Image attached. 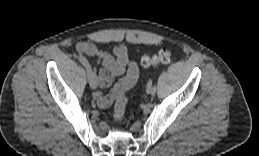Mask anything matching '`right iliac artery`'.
I'll list each match as a JSON object with an SVG mask.
<instances>
[{
	"mask_svg": "<svg viewBox=\"0 0 259 156\" xmlns=\"http://www.w3.org/2000/svg\"><path fill=\"white\" fill-rule=\"evenodd\" d=\"M78 59L85 66L87 73H88V79H89L91 71H92L91 66L89 65V63L85 57L79 56Z\"/></svg>",
	"mask_w": 259,
	"mask_h": 156,
	"instance_id": "1",
	"label": "right iliac artery"
}]
</instances>
